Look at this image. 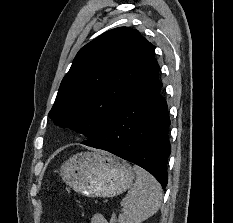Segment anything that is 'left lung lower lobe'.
Here are the masks:
<instances>
[{
	"label": "left lung lower lobe",
	"instance_id": "1",
	"mask_svg": "<svg viewBox=\"0 0 233 223\" xmlns=\"http://www.w3.org/2000/svg\"><path fill=\"white\" fill-rule=\"evenodd\" d=\"M160 68L152 66L142 83L85 145L111 152L150 172L165 188L168 140L167 103L160 95Z\"/></svg>",
	"mask_w": 233,
	"mask_h": 223
}]
</instances>
